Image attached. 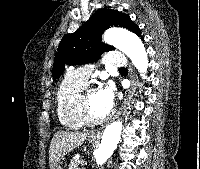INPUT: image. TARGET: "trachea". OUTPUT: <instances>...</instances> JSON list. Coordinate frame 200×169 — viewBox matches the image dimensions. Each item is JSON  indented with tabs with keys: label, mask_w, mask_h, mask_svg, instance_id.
<instances>
[{
	"label": "trachea",
	"mask_w": 200,
	"mask_h": 169,
	"mask_svg": "<svg viewBox=\"0 0 200 169\" xmlns=\"http://www.w3.org/2000/svg\"><path fill=\"white\" fill-rule=\"evenodd\" d=\"M119 70H121V71H127V69H126V68H124V67H122V68H119Z\"/></svg>",
	"instance_id": "1"
}]
</instances>
